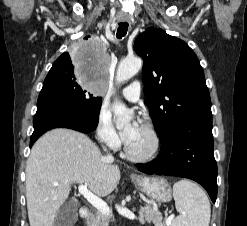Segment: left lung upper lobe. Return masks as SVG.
I'll return each mask as SVG.
<instances>
[{
    "label": "left lung upper lobe",
    "mask_w": 247,
    "mask_h": 226,
    "mask_svg": "<svg viewBox=\"0 0 247 226\" xmlns=\"http://www.w3.org/2000/svg\"><path fill=\"white\" fill-rule=\"evenodd\" d=\"M134 49L144 60L145 96L161 142L193 117L211 115L203 69L184 41L162 29L148 28L139 35Z\"/></svg>",
    "instance_id": "left-lung-upper-lobe-1"
}]
</instances>
